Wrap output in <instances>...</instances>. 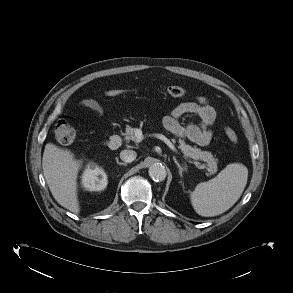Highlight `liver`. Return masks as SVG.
I'll return each mask as SVG.
<instances>
[{"label":"liver","mask_w":293,"mask_h":293,"mask_svg":"<svg viewBox=\"0 0 293 293\" xmlns=\"http://www.w3.org/2000/svg\"><path fill=\"white\" fill-rule=\"evenodd\" d=\"M81 163L70 150L46 144L42 158L45 180L55 200L75 214L80 212L77 177Z\"/></svg>","instance_id":"1"}]
</instances>
